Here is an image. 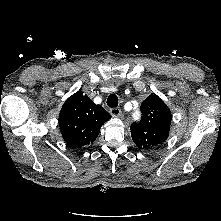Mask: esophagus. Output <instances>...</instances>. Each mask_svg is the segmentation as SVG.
Masks as SVG:
<instances>
[{
    "label": "esophagus",
    "instance_id": "esophagus-1",
    "mask_svg": "<svg viewBox=\"0 0 221 221\" xmlns=\"http://www.w3.org/2000/svg\"><path fill=\"white\" fill-rule=\"evenodd\" d=\"M110 114L113 116V117H119L121 116V110L119 108H111L110 109Z\"/></svg>",
    "mask_w": 221,
    "mask_h": 221
}]
</instances>
